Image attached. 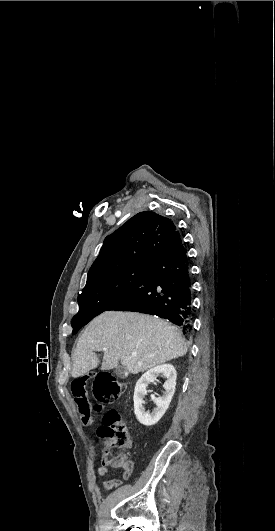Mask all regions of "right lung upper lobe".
<instances>
[{
	"label": "right lung upper lobe",
	"mask_w": 275,
	"mask_h": 531,
	"mask_svg": "<svg viewBox=\"0 0 275 531\" xmlns=\"http://www.w3.org/2000/svg\"><path fill=\"white\" fill-rule=\"evenodd\" d=\"M173 222L154 212H140L107 236L92 264L87 283L112 271L147 265L176 232Z\"/></svg>",
	"instance_id": "obj_1"
}]
</instances>
